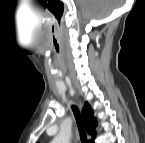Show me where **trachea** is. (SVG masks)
<instances>
[{
    "label": "trachea",
    "mask_w": 145,
    "mask_h": 143,
    "mask_svg": "<svg viewBox=\"0 0 145 143\" xmlns=\"http://www.w3.org/2000/svg\"><path fill=\"white\" fill-rule=\"evenodd\" d=\"M72 110H73V113H74V116H75V119L77 122V126H78V129L80 132L81 141H82V143H88L85 130H84L83 125H82L81 120H80L79 110L76 106H72Z\"/></svg>",
    "instance_id": "obj_1"
}]
</instances>
